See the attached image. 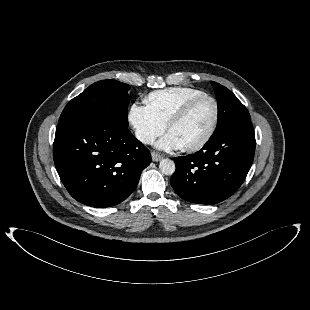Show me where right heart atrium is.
<instances>
[{"label":"right heart atrium","instance_id":"d8ad5b80","mask_svg":"<svg viewBox=\"0 0 310 310\" xmlns=\"http://www.w3.org/2000/svg\"><path fill=\"white\" fill-rule=\"evenodd\" d=\"M128 121L135 137L146 145L153 143L166 129V125L159 121L146 105L137 103L131 105Z\"/></svg>","mask_w":310,"mask_h":310}]
</instances>
